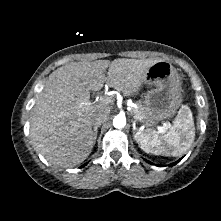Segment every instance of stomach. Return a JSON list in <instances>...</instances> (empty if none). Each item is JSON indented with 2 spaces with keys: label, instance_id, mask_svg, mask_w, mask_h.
<instances>
[{
  "label": "stomach",
  "instance_id": "stomach-1",
  "mask_svg": "<svg viewBox=\"0 0 221 221\" xmlns=\"http://www.w3.org/2000/svg\"><path fill=\"white\" fill-rule=\"evenodd\" d=\"M144 83L151 87L144 101V121L149 127L176 113L182 100L181 80L170 62L159 60L148 69Z\"/></svg>",
  "mask_w": 221,
  "mask_h": 221
}]
</instances>
